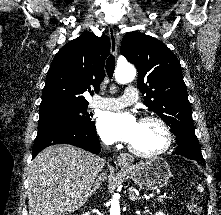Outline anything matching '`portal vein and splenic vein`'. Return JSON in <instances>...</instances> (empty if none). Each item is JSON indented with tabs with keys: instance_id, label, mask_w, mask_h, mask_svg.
I'll list each match as a JSON object with an SVG mask.
<instances>
[{
	"instance_id": "portal-vein-and-splenic-vein-1",
	"label": "portal vein and splenic vein",
	"mask_w": 221,
	"mask_h": 215,
	"mask_svg": "<svg viewBox=\"0 0 221 215\" xmlns=\"http://www.w3.org/2000/svg\"><path fill=\"white\" fill-rule=\"evenodd\" d=\"M155 195L154 194H150L148 197L152 198L154 197ZM166 195H162V196H158V200H162L161 198L162 197H165Z\"/></svg>"
}]
</instances>
